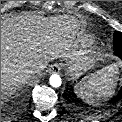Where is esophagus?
Instances as JSON below:
<instances>
[{"label":"esophagus","mask_w":122,"mask_h":122,"mask_svg":"<svg viewBox=\"0 0 122 122\" xmlns=\"http://www.w3.org/2000/svg\"><path fill=\"white\" fill-rule=\"evenodd\" d=\"M61 70V65L58 63L52 64L49 68V73H59Z\"/></svg>","instance_id":"obj_1"}]
</instances>
